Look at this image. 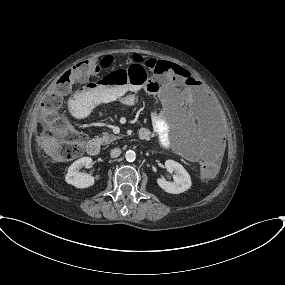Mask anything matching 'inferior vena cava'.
Instances as JSON below:
<instances>
[{"mask_svg": "<svg viewBox=\"0 0 285 285\" xmlns=\"http://www.w3.org/2000/svg\"><path fill=\"white\" fill-rule=\"evenodd\" d=\"M120 154H121V149H119V148H114L110 152V155L113 158H116V157L120 156Z\"/></svg>", "mask_w": 285, "mask_h": 285, "instance_id": "obj_1", "label": "inferior vena cava"}]
</instances>
